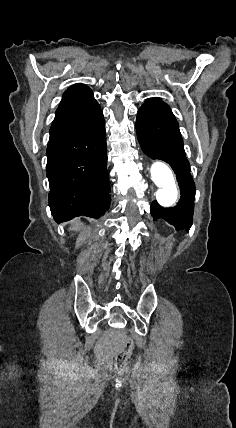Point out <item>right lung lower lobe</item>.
Segmentation results:
<instances>
[{"instance_id": "obj_1", "label": "right lung lower lobe", "mask_w": 236, "mask_h": 428, "mask_svg": "<svg viewBox=\"0 0 236 428\" xmlns=\"http://www.w3.org/2000/svg\"><path fill=\"white\" fill-rule=\"evenodd\" d=\"M103 112L97 108L55 116L47 148L49 206L57 223L98 219L110 207Z\"/></svg>"}]
</instances>
